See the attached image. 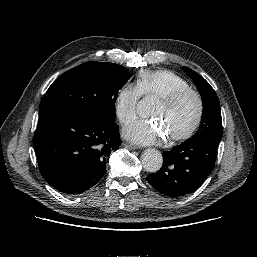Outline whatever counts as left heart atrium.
<instances>
[{
  "label": "left heart atrium",
  "instance_id": "obj_1",
  "mask_svg": "<svg viewBox=\"0 0 257 257\" xmlns=\"http://www.w3.org/2000/svg\"><path fill=\"white\" fill-rule=\"evenodd\" d=\"M124 135L142 144L158 143L164 140V134L155 122L139 120L124 129Z\"/></svg>",
  "mask_w": 257,
  "mask_h": 257
}]
</instances>
